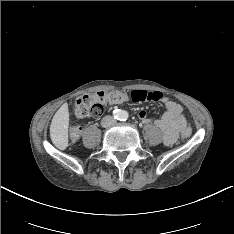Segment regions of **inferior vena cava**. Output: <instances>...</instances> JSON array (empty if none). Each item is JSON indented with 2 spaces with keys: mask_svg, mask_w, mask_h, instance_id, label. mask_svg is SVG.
<instances>
[{
  "mask_svg": "<svg viewBox=\"0 0 234 234\" xmlns=\"http://www.w3.org/2000/svg\"><path fill=\"white\" fill-rule=\"evenodd\" d=\"M116 122V120L112 117V116H105L102 120H101V126L102 127H109L111 125H113Z\"/></svg>",
  "mask_w": 234,
  "mask_h": 234,
  "instance_id": "1",
  "label": "inferior vena cava"
}]
</instances>
